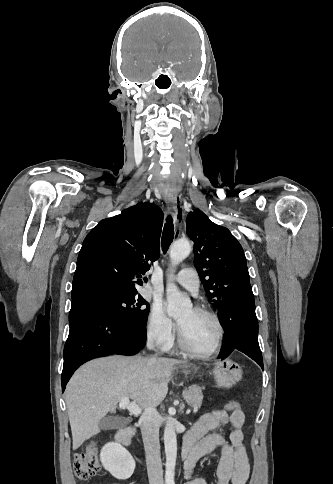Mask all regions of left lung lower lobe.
I'll use <instances>...</instances> for the list:
<instances>
[{"label": "left lung lower lobe", "mask_w": 333, "mask_h": 484, "mask_svg": "<svg viewBox=\"0 0 333 484\" xmlns=\"http://www.w3.org/2000/svg\"><path fill=\"white\" fill-rule=\"evenodd\" d=\"M237 301L226 296L218 309V317L224 329V346L218 358H227L233 350H239L263 368L262 354L258 343V321L255 314L254 295L250 284L234 290Z\"/></svg>", "instance_id": "obj_1"}]
</instances>
